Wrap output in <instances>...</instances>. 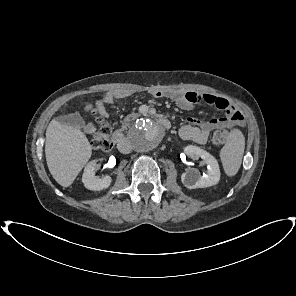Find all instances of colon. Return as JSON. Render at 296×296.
Returning <instances> with one entry per match:
<instances>
[{"label": "colon", "mask_w": 296, "mask_h": 296, "mask_svg": "<svg viewBox=\"0 0 296 296\" xmlns=\"http://www.w3.org/2000/svg\"><path fill=\"white\" fill-rule=\"evenodd\" d=\"M94 119L98 124V128L94 133L91 144L96 150L108 152L113 146L111 141V129L103 120L102 115H94ZM228 137L229 131L226 129H220L213 134L212 140L214 144L220 145L225 143Z\"/></svg>", "instance_id": "obj_1"}]
</instances>
